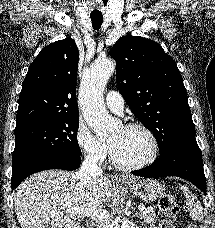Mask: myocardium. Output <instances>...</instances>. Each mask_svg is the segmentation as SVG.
<instances>
[{
    "mask_svg": "<svg viewBox=\"0 0 215 228\" xmlns=\"http://www.w3.org/2000/svg\"><path fill=\"white\" fill-rule=\"evenodd\" d=\"M123 128L142 130L148 137V140L150 143V149H149L147 156L142 161L135 163V164H122L116 160L111 146L108 145L109 152H110V161H111L112 165L119 170L127 171V172L136 171V170H139V169H142V168L148 166L150 163H152L155 160V158L157 157V154H158V141H157V138H156L154 132L152 131V129L150 127H148L147 125L140 123V122L127 123L124 125Z\"/></svg>",
    "mask_w": 215,
    "mask_h": 228,
    "instance_id": "obj_1",
    "label": "myocardium"
}]
</instances>
